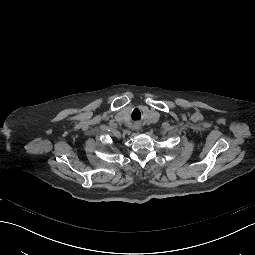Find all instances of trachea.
Listing matches in <instances>:
<instances>
[{"label": "trachea", "mask_w": 255, "mask_h": 255, "mask_svg": "<svg viewBox=\"0 0 255 255\" xmlns=\"http://www.w3.org/2000/svg\"><path fill=\"white\" fill-rule=\"evenodd\" d=\"M132 119L133 120H138L139 118L137 117V115L135 114V111H133L132 113Z\"/></svg>", "instance_id": "trachea-1"}]
</instances>
